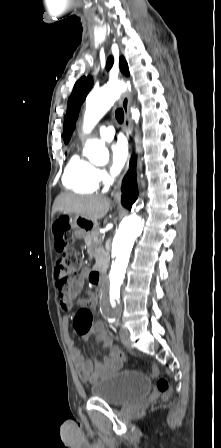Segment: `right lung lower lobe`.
Masks as SVG:
<instances>
[{
  "instance_id": "right-lung-lower-lobe-1",
  "label": "right lung lower lobe",
  "mask_w": 221,
  "mask_h": 448,
  "mask_svg": "<svg viewBox=\"0 0 221 448\" xmlns=\"http://www.w3.org/2000/svg\"><path fill=\"white\" fill-rule=\"evenodd\" d=\"M137 197L136 163L135 157H133L130 162V169L122 182L121 203L126 208L131 209L132 204L136 201Z\"/></svg>"
}]
</instances>
